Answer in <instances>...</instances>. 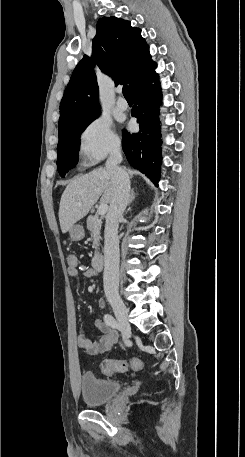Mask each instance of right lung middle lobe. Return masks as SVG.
<instances>
[{"label": "right lung middle lobe", "mask_w": 245, "mask_h": 457, "mask_svg": "<svg viewBox=\"0 0 245 457\" xmlns=\"http://www.w3.org/2000/svg\"><path fill=\"white\" fill-rule=\"evenodd\" d=\"M99 114L100 111L87 118L67 123L58 129L57 168L62 177L77 163L81 133Z\"/></svg>", "instance_id": "right-lung-middle-lobe-1"}]
</instances>
